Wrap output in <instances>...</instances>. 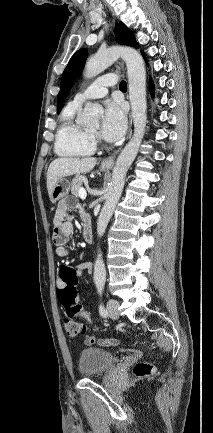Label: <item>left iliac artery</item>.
Returning <instances> with one entry per match:
<instances>
[{
	"instance_id": "44dca946",
	"label": "left iliac artery",
	"mask_w": 213,
	"mask_h": 433,
	"mask_svg": "<svg viewBox=\"0 0 213 433\" xmlns=\"http://www.w3.org/2000/svg\"><path fill=\"white\" fill-rule=\"evenodd\" d=\"M98 293L100 295V297H102L103 295V287H98ZM99 313L102 317H106L107 316V310L105 309L104 305L102 303H100L99 305Z\"/></svg>"
}]
</instances>
